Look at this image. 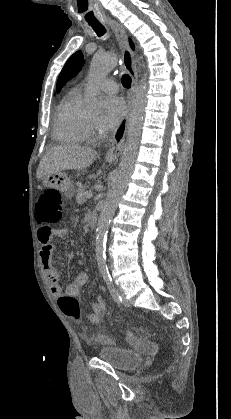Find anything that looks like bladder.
<instances>
[{"label": "bladder", "mask_w": 231, "mask_h": 419, "mask_svg": "<svg viewBox=\"0 0 231 419\" xmlns=\"http://www.w3.org/2000/svg\"><path fill=\"white\" fill-rule=\"evenodd\" d=\"M97 356L118 371H129L137 368L145 360V357L141 354L112 345L101 346L98 349Z\"/></svg>", "instance_id": "obj_1"}]
</instances>
